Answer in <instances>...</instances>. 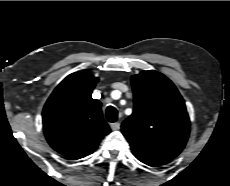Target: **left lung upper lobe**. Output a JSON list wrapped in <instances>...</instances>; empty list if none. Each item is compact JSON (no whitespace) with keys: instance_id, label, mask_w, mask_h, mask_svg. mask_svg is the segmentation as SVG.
<instances>
[{"instance_id":"left-lung-upper-lobe-1","label":"left lung upper lobe","mask_w":230,"mask_h":186,"mask_svg":"<svg viewBox=\"0 0 230 186\" xmlns=\"http://www.w3.org/2000/svg\"><path fill=\"white\" fill-rule=\"evenodd\" d=\"M134 110L122 133L135 157L148 165L165 164L184 148L190 131L184 100L163 74L143 71L132 77Z\"/></svg>"}]
</instances>
